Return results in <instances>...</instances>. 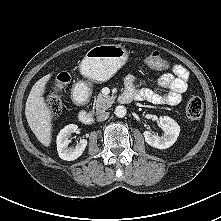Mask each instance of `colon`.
Wrapping results in <instances>:
<instances>
[{"mask_svg": "<svg viewBox=\"0 0 221 221\" xmlns=\"http://www.w3.org/2000/svg\"><path fill=\"white\" fill-rule=\"evenodd\" d=\"M145 64L157 71H164L168 69V61L159 52L155 51L147 55L145 58ZM67 73L60 74L56 78V86L61 88L69 81ZM47 106L52 115L57 116L63 108L60 95L56 91H52L48 94L46 99ZM203 102L197 95H193L189 98L186 105V114L189 119L197 120L202 116Z\"/></svg>", "mask_w": 221, "mask_h": 221, "instance_id": "5ec220e1", "label": "colon"}]
</instances>
